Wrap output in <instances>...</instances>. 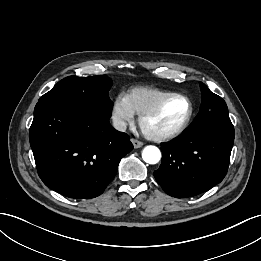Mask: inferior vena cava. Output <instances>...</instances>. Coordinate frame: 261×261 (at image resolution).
<instances>
[{"instance_id": "1", "label": "inferior vena cava", "mask_w": 261, "mask_h": 261, "mask_svg": "<svg viewBox=\"0 0 261 261\" xmlns=\"http://www.w3.org/2000/svg\"><path fill=\"white\" fill-rule=\"evenodd\" d=\"M113 127L118 131L124 132L126 130L127 123L118 117H114L113 118Z\"/></svg>"}]
</instances>
